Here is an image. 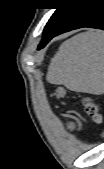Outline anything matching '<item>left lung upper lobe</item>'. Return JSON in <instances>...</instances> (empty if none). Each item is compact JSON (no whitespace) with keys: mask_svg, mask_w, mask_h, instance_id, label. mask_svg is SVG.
<instances>
[{"mask_svg":"<svg viewBox=\"0 0 104 169\" xmlns=\"http://www.w3.org/2000/svg\"><path fill=\"white\" fill-rule=\"evenodd\" d=\"M59 3L62 4L61 7L56 8V11L53 13L51 18L49 19L46 27L44 29V35L49 34L58 25L63 21V19L67 16L70 10L73 8L76 0H57Z\"/></svg>","mask_w":104,"mask_h":169,"instance_id":"1","label":"left lung upper lobe"}]
</instances>
